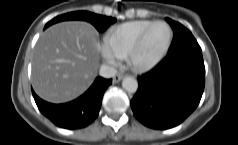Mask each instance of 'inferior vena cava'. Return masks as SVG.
Wrapping results in <instances>:
<instances>
[{
	"label": "inferior vena cava",
	"mask_w": 238,
	"mask_h": 145,
	"mask_svg": "<svg viewBox=\"0 0 238 145\" xmlns=\"http://www.w3.org/2000/svg\"><path fill=\"white\" fill-rule=\"evenodd\" d=\"M100 76L104 78H111L117 74V70L115 67L110 65H102L99 70Z\"/></svg>",
	"instance_id": "inferior-vena-cava-1"
}]
</instances>
